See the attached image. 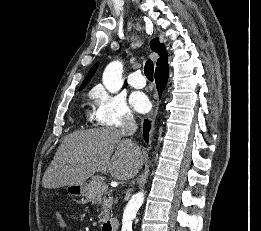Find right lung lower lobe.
I'll use <instances>...</instances> for the list:
<instances>
[{
    "instance_id": "right-lung-lower-lobe-1",
    "label": "right lung lower lobe",
    "mask_w": 261,
    "mask_h": 231,
    "mask_svg": "<svg viewBox=\"0 0 261 231\" xmlns=\"http://www.w3.org/2000/svg\"><path fill=\"white\" fill-rule=\"evenodd\" d=\"M168 80V65L162 67L155 72V82L158 90L159 97L161 93L165 89L166 83ZM151 122L149 120H144V128H143V135L146 142H148V133L150 130Z\"/></svg>"
}]
</instances>
